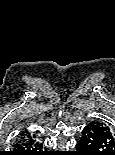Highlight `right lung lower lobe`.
Instances as JSON below:
<instances>
[{
    "label": "right lung lower lobe",
    "instance_id": "obj_1",
    "mask_svg": "<svg viewBox=\"0 0 115 155\" xmlns=\"http://www.w3.org/2000/svg\"><path fill=\"white\" fill-rule=\"evenodd\" d=\"M13 155H47V152L35 135L23 132L14 144Z\"/></svg>",
    "mask_w": 115,
    "mask_h": 155
}]
</instances>
